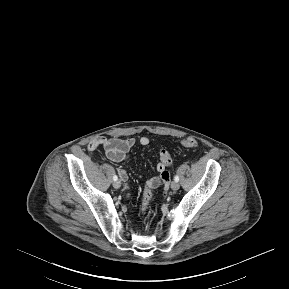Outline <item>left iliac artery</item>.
I'll return each mask as SVG.
<instances>
[{
	"instance_id": "left-iliac-artery-1",
	"label": "left iliac artery",
	"mask_w": 289,
	"mask_h": 289,
	"mask_svg": "<svg viewBox=\"0 0 289 289\" xmlns=\"http://www.w3.org/2000/svg\"><path fill=\"white\" fill-rule=\"evenodd\" d=\"M174 180L178 182V181H179V176L176 175V176L174 177Z\"/></svg>"
}]
</instances>
